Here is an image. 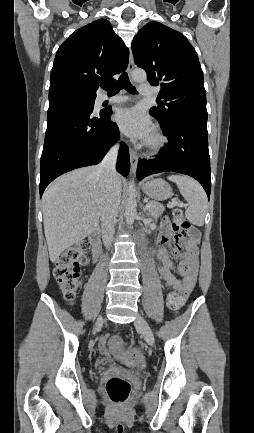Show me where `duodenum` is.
<instances>
[{"label":"duodenum","mask_w":254,"mask_h":433,"mask_svg":"<svg viewBox=\"0 0 254 433\" xmlns=\"http://www.w3.org/2000/svg\"><path fill=\"white\" fill-rule=\"evenodd\" d=\"M89 242L93 248L95 257L97 258L100 249V232L99 231L93 232L89 237Z\"/></svg>","instance_id":"410a0bca"}]
</instances>
